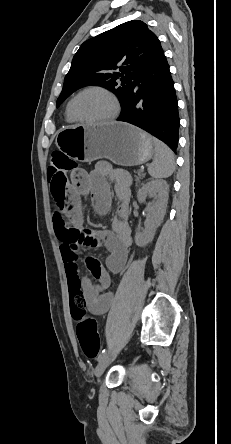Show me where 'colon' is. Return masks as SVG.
Here are the masks:
<instances>
[{"mask_svg": "<svg viewBox=\"0 0 231 444\" xmlns=\"http://www.w3.org/2000/svg\"><path fill=\"white\" fill-rule=\"evenodd\" d=\"M80 170L77 163L61 152H53L48 167V178L57 188L69 181L75 171ZM70 305L74 319L77 322V336L83 353L89 359H94L100 349V335L97 322L91 318L86 310V299L78 283L69 286Z\"/></svg>", "mask_w": 231, "mask_h": 444, "instance_id": "1", "label": "colon"}]
</instances>
